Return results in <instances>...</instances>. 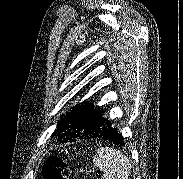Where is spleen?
Returning a JSON list of instances; mask_svg holds the SVG:
<instances>
[{"instance_id": "obj_1", "label": "spleen", "mask_w": 183, "mask_h": 179, "mask_svg": "<svg viewBox=\"0 0 183 179\" xmlns=\"http://www.w3.org/2000/svg\"><path fill=\"white\" fill-rule=\"evenodd\" d=\"M93 163L103 172V179H128L131 172L128 157L113 147H100Z\"/></svg>"}]
</instances>
